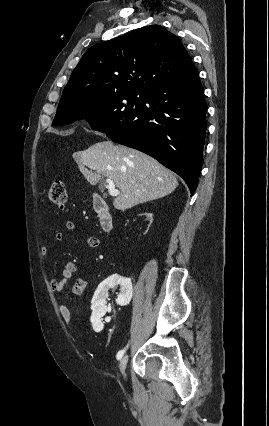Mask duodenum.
<instances>
[{"instance_id": "obj_1", "label": "duodenum", "mask_w": 269, "mask_h": 426, "mask_svg": "<svg viewBox=\"0 0 269 426\" xmlns=\"http://www.w3.org/2000/svg\"><path fill=\"white\" fill-rule=\"evenodd\" d=\"M92 205L97 214L102 229L107 232L111 231L113 229V218L103 196L96 194L93 197Z\"/></svg>"}]
</instances>
